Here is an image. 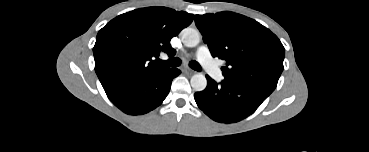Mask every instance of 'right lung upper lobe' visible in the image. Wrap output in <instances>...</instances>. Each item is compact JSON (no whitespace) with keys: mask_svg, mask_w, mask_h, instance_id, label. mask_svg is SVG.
Wrapping results in <instances>:
<instances>
[{"mask_svg":"<svg viewBox=\"0 0 369 152\" xmlns=\"http://www.w3.org/2000/svg\"><path fill=\"white\" fill-rule=\"evenodd\" d=\"M194 15L166 7L136 9L117 16L97 34L95 71L106 93L169 68L155 58L174 56L170 40L191 24Z\"/></svg>","mask_w":369,"mask_h":152,"instance_id":"1","label":"right lung upper lobe"}]
</instances>
